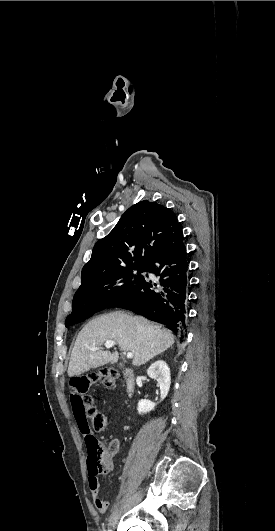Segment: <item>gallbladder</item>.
<instances>
[{
	"label": "gallbladder",
	"mask_w": 275,
	"mask_h": 531,
	"mask_svg": "<svg viewBox=\"0 0 275 531\" xmlns=\"http://www.w3.org/2000/svg\"><path fill=\"white\" fill-rule=\"evenodd\" d=\"M119 367H120V369H123V367H124L123 363H120Z\"/></svg>",
	"instance_id": "obj_1"
}]
</instances>
